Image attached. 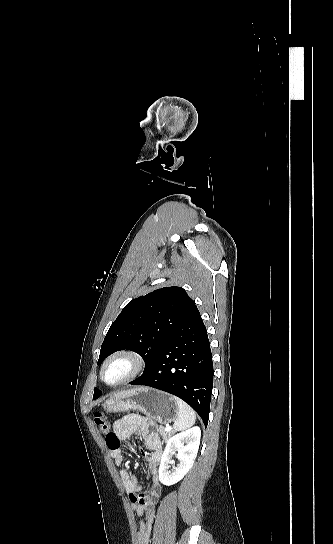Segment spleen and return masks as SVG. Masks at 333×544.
I'll return each instance as SVG.
<instances>
[{"instance_id": "spleen-1", "label": "spleen", "mask_w": 333, "mask_h": 544, "mask_svg": "<svg viewBox=\"0 0 333 544\" xmlns=\"http://www.w3.org/2000/svg\"><path fill=\"white\" fill-rule=\"evenodd\" d=\"M173 397L178 406L177 419L173 425L174 430L175 431L185 430L191 427L195 423L196 421L195 412L182 399L178 398L177 396H173Z\"/></svg>"}]
</instances>
